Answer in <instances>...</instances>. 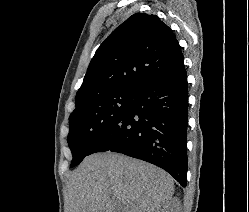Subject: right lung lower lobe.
I'll use <instances>...</instances> for the list:
<instances>
[{"instance_id":"obj_1","label":"right lung lower lobe","mask_w":249,"mask_h":212,"mask_svg":"<svg viewBox=\"0 0 249 212\" xmlns=\"http://www.w3.org/2000/svg\"><path fill=\"white\" fill-rule=\"evenodd\" d=\"M188 86L184 63L142 86L89 155L112 151L163 168L186 186Z\"/></svg>"}]
</instances>
